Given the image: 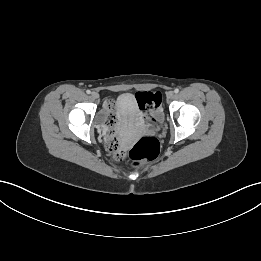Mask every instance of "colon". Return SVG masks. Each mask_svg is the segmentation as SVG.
<instances>
[{
  "label": "colon",
  "instance_id": "5ec220e1",
  "mask_svg": "<svg viewBox=\"0 0 261 261\" xmlns=\"http://www.w3.org/2000/svg\"><path fill=\"white\" fill-rule=\"evenodd\" d=\"M133 100L138 103L140 110L146 112L147 119L162 120L163 113L158 107L162 101L159 92L142 91L141 93H135ZM108 106L110 107L111 104ZM115 122V116L110 114L106 132V147L115 159L120 160L128 157L134 166H140L157 158L160 146L158 140L153 137H142L129 150H125L113 128Z\"/></svg>",
  "mask_w": 261,
  "mask_h": 261
}]
</instances>
